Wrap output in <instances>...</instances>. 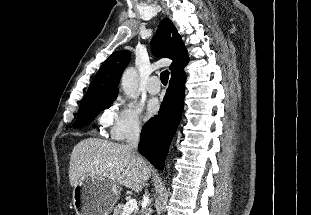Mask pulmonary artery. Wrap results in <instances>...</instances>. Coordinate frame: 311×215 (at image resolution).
I'll return each instance as SVG.
<instances>
[{
  "label": "pulmonary artery",
  "mask_w": 311,
  "mask_h": 215,
  "mask_svg": "<svg viewBox=\"0 0 311 215\" xmlns=\"http://www.w3.org/2000/svg\"><path fill=\"white\" fill-rule=\"evenodd\" d=\"M147 91L150 94H157L160 91V82L157 76H151L147 82Z\"/></svg>",
  "instance_id": "pulmonary-artery-1"
}]
</instances>
